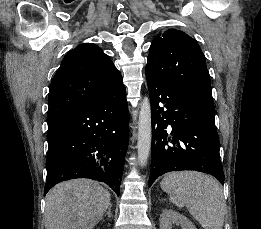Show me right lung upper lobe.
Here are the masks:
<instances>
[{
	"instance_id": "right-lung-upper-lobe-1",
	"label": "right lung upper lobe",
	"mask_w": 261,
	"mask_h": 229,
	"mask_svg": "<svg viewBox=\"0 0 261 229\" xmlns=\"http://www.w3.org/2000/svg\"><path fill=\"white\" fill-rule=\"evenodd\" d=\"M121 80L110 58L95 44H81L69 51L50 85L48 128L96 100Z\"/></svg>"
}]
</instances>
